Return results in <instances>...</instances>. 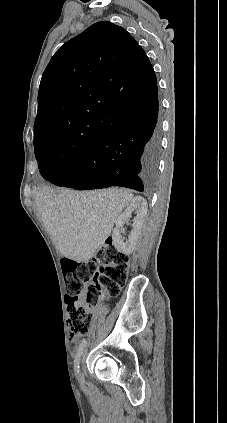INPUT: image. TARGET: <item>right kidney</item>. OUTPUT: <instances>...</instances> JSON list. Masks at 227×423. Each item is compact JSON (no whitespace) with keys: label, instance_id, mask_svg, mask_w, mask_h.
Returning <instances> with one entry per match:
<instances>
[{"label":"right kidney","instance_id":"obj_1","mask_svg":"<svg viewBox=\"0 0 227 423\" xmlns=\"http://www.w3.org/2000/svg\"><path fill=\"white\" fill-rule=\"evenodd\" d=\"M147 208L148 206L145 198H142V196H135L130 204H128L127 208H125L122 215H118L115 221L116 227H114L112 231V243L121 253H125V255H130V253H132L135 241L140 233V229H142ZM132 211H136V215L133 219V227L128 235L127 241H124L123 237L120 235L121 227H123L125 219L132 217Z\"/></svg>","mask_w":227,"mask_h":423}]
</instances>
